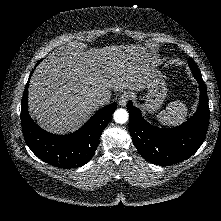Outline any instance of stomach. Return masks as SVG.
I'll list each match as a JSON object with an SVG mask.
<instances>
[{
    "label": "stomach",
    "instance_id": "stomach-1",
    "mask_svg": "<svg viewBox=\"0 0 221 221\" xmlns=\"http://www.w3.org/2000/svg\"><path fill=\"white\" fill-rule=\"evenodd\" d=\"M167 91L165 77L157 71L147 86L146 94L142 97L144 100L143 109L149 113L159 110L167 97Z\"/></svg>",
    "mask_w": 221,
    "mask_h": 221
}]
</instances>
